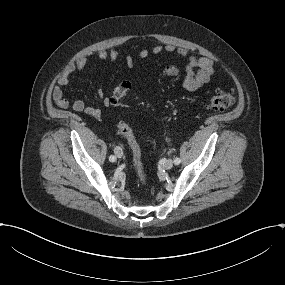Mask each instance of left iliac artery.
I'll return each mask as SVG.
<instances>
[{
  "instance_id": "left-iliac-artery-1",
  "label": "left iliac artery",
  "mask_w": 285,
  "mask_h": 285,
  "mask_svg": "<svg viewBox=\"0 0 285 285\" xmlns=\"http://www.w3.org/2000/svg\"><path fill=\"white\" fill-rule=\"evenodd\" d=\"M180 162H181V160H180L179 158H175V159H174V164H175V165H179Z\"/></svg>"
}]
</instances>
